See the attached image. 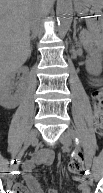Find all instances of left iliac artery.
Wrapping results in <instances>:
<instances>
[{
    "label": "left iliac artery",
    "instance_id": "1",
    "mask_svg": "<svg viewBox=\"0 0 103 193\" xmlns=\"http://www.w3.org/2000/svg\"><path fill=\"white\" fill-rule=\"evenodd\" d=\"M70 135L74 139L76 145L79 146L80 142H79V138H78L76 132L73 131V130H70ZM84 158H85V164H86L87 169H90V167H91V158H90V155L86 151H84Z\"/></svg>",
    "mask_w": 103,
    "mask_h": 193
}]
</instances>
